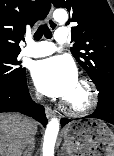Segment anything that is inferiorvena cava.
I'll list each match as a JSON object with an SVG mask.
<instances>
[{
  "label": "inferior vena cava",
  "mask_w": 114,
  "mask_h": 156,
  "mask_svg": "<svg viewBox=\"0 0 114 156\" xmlns=\"http://www.w3.org/2000/svg\"><path fill=\"white\" fill-rule=\"evenodd\" d=\"M41 98H42L41 95H36V100H37V101H40ZM32 142H33V141H31V142L29 143V145H28V147H27V151H25V152H26V156H31V152H32V150L34 149V148H32Z\"/></svg>",
  "instance_id": "obj_1"
}]
</instances>
